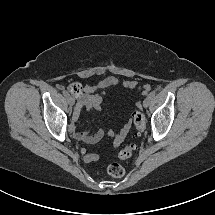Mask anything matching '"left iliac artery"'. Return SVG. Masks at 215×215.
Segmentation results:
<instances>
[{
    "label": "left iliac artery",
    "mask_w": 215,
    "mask_h": 215,
    "mask_svg": "<svg viewBox=\"0 0 215 215\" xmlns=\"http://www.w3.org/2000/svg\"><path fill=\"white\" fill-rule=\"evenodd\" d=\"M155 96V91H151L149 94H148V97L149 98H153Z\"/></svg>",
    "instance_id": "obj_1"
}]
</instances>
